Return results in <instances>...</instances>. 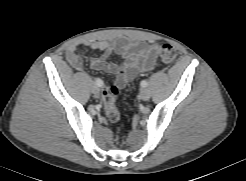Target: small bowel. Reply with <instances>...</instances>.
<instances>
[{"label":"small bowel","instance_id":"small-bowel-1","mask_svg":"<svg viewBox=\"0 0 246 181\" xmlns=\"http://www.w3.org/2000/svg\"><path fill=\"white\" fill-rule=\"evenodd\" d=\"M85 47L92 51L102 52L101 57L90 59V66L97 71L115 74L116 85L120 88L124 87L139 73L150 71L155 66L157 45L131 42L121 38L113 43L78 41L71 44L67 50V60L77 71L83 69V58L80 51ZM112 54L120 55L123 59L122 63L117 64L109 61Z\"/></svg>","mask_w":246,"mask_h":181}]
</instances>
